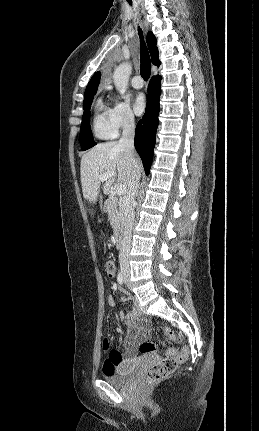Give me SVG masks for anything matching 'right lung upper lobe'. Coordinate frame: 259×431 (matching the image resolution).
I'll return each mask as SVG.
<instances>
[{
  "instance_id": "1",
  "label": "right lung upper lobe",
  "mask_w": 259,
  "mask_h": 431,
  "mask_svg": "<svg viewBox=\"0 0 259 431\" xmlns=\"http://www.w3.org/2000/svg\"><path fill=\"white\" fill-rule=\"evenodd\" d=\"M147 44H148V48L150 51V55H151V60L152 63L154 65L159 66L160 65V61L158 59V49L156 47V38L153 35L152 32H148L147 34ZM100 77H101V73L100 72H96L93 77L91 78V80L89 81L87 87H86V91L85 94L91 93V92H96L99 82H100Z\"/></svg>"
}]
</instances>
